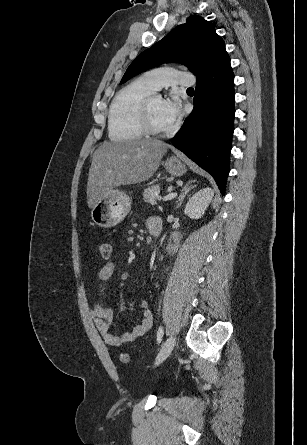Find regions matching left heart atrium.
<instances>
[{
  "mask_svg": "<svg viewBox=\"0 0 307 445\" xmlns=\"http://www.w3.org/2000/svg\"><path fill=\"white\" fill-rule=\"evenodd\" d=\"M163 107L165 116L170 122L175 123L181 116V101L175 92L170 93L168 97L163 100Z\"/></svg>",
  "mask_w": 307,
  "mask_h": 445,
  "instance_id": "39dd6f15",
  "label": "left heart atrium"
}]
</instances>
